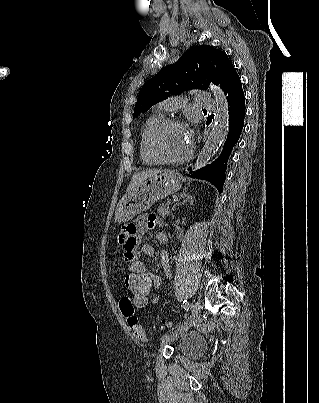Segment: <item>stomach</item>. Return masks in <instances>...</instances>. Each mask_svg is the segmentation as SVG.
<instances>
[{
    "label": "stomach",
    "instance_id": "1",
    "mask_svg": "<svg viewBox=\"0 0 319 403\" xmlns=\"http://www.w3.org/2000/svg\"><path fill=\"white\" fill-rule=\"evenodd\" d=\"M183 181L184 178L173 171L142 181L119 202L115 212L116 221L122 223L133 219L137 214L148 210L155 202L179 191Z\"/></svg>",
    "mask_w": 319,
    "mask_h": 403
}]
</instances>
